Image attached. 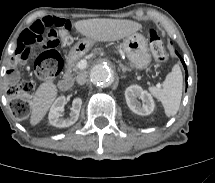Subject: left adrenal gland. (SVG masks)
<instances>
[{"instance_id":"1","label":"left adrenal gland","mask_w":215,"mask_h":183,"mask_svg":"<svg viewBox=\"0 0 215 183\" xmlns=\"http://www.w3.org/2000/svg\"><path fill=\"white\" fill-rule=\"evenodd\" d=\"M120 67L122 68L123 73L125 72H130V69H128L126 66H124L123 64H120Z\"/></svg>"}]
</instances>
